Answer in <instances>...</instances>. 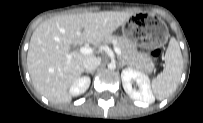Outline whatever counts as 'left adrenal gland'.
I'll return each mask as SVG.
<instances>
[{"label":"left adrenal gland","instance_id":"a2214340","mask_svg":"<svg viewBox=\"0 0 203 123\" xmlns=\"http://www.w3.org/2000/svg\"><path fill=\"white\" fill-rule=\"evenodd\" d=\"M119 64H120L121 67L127 65V63L125 62V60L122 59L121 57H120V62H119Z\"/></svg>","mask_w":203,"mask_h":123}]
</instances>
